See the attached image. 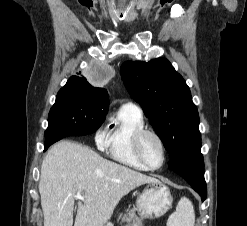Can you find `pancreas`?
I'll list each match as a JSON object with an SVG mask.
<instances>
[{
  "mask_svg": "<svg viewBox=\"0 0 247 226\" xmlns=\"http://www.w3.org/2000/svg\"><path fill=\"white\" fill-rule=\"evenodd\" d=\"M119 218H121L122 222H131L139 220V218L135 215L134 210H127V214H120Z\"/></svg>",
  "mask_w": 247,
  "mask_h": 226,
  "instance_id": "pancreas-1",
  "label": "pancreas"
}]
</instances>
